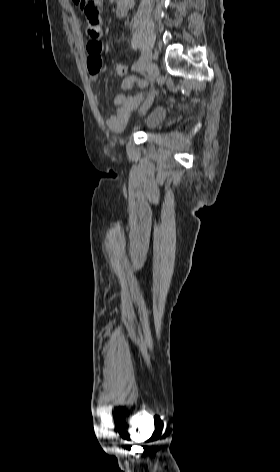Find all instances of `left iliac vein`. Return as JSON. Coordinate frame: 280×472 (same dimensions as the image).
Returning a JSON list of instances; mask_svg holds the SVG:
<instances>
[{
    "instance_id": "4c4485c4",
    "label": "left iliac vein",
    "mask_w": 280,
    "mask_h": 472,
    "mask_svg": "<svg viewBox=\"0 0 280 472\" xmlns=\"http://www.w3.org/2000/svg\"><path fill=\"white\" fill-rule=\"evenodd\" d=\"M147 74H148V78L151 82V84H153L156 80V78L158 77L159 75V69H158V66L154 63V62H151L149 65H148V68H147ZM153 99H154V91L149 95L148 99L146 100L145 102V108H148L152 102H153Z\"/></svg>"
}]
</instances>
